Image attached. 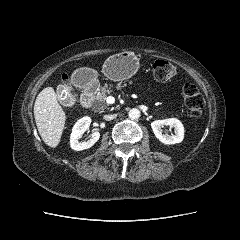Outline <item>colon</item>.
Listing matches in <instances>:
<instances>
[{
  "instance_id": "1",
  "label": "colon",
  "mask_w": 240,
  "mask_h": 240,
  "mask_svg": "<svg viewBox=\"0 0 240 240\" xmlns=\"http://www.w3.org/2000/svg\"><path fill=\"white\" fill-rule=\"evenodd\" d=\"M152 73L157 81L165 82L176 77L178 69L166 60H157L153 64ZM63 79L66 81L67 77ZM181 94L190 115L200 116L204 107V99L199 89L194 84L188 83L183 86Z\"/></svg>"
}]
</instances>
